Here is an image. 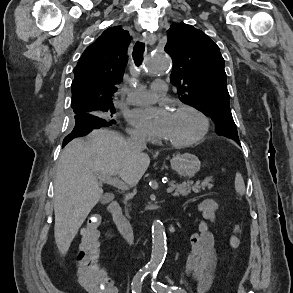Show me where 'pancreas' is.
Returning <instances> with one entry per match:
<instances>
[{"label":"pancreas","mask_w":293,"mask_h":293,"mask_svg":"<svg viewBox=\"0 0 293 293\" xmlns=\"http://www.w3.org/2000/svg\"><path fill=\"white\" fill-rule=\"evenodd\" d=\"M210 179H206L202 182L200 180H197L195 183L193 181H185L181 184L176 183L175 181L170 182V187L173 188V196L179 197V196H187L193 191L194 193H199L200 190H204L205 187H212V184L210 183ZM126 216H128V212H126Z\"/></svg>","instance_id":"pancreas-1"}]
</instances>
